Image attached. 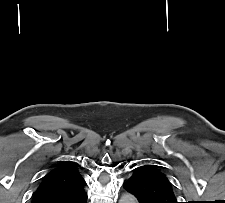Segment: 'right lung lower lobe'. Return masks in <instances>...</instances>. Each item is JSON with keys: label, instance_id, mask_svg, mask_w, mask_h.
<instances>
[{"label": "right lung lower lobe", "instance_id": "1", "mask_svg": "<svg viewBox=\"0 0 225 203\" xmlns=\"http://www.w3.org/2000/svg\"><path fill=\"white\" fill-rule=\"evenodd\" d=\"M86 202H87V193H85L80 198L70 203H86ZM52 203H62V202H52ZM63 203H67V202H63Z\"/></svg>", "mask_w": 225, "mask_h": 203}]
</instances>
